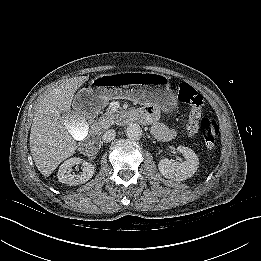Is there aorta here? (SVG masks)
Masks as SVG:
<instances>
[{
  "label": "aorta",
  "instance_id": "762f6f07",
  "mask_svg": "<svg viewBox=\"0 0 261 261\" xmlns=\"http://www.w3.org/2000/svg\"><path fill=\"white\" fill-rule=\"evenodd\" d=\"M126 136L132 140H139L142 137V128L139 124L131 123L126 128Z\"/></svg>",
  "mask_w": 261,
  "mask_h": 261
}]
</instances>
